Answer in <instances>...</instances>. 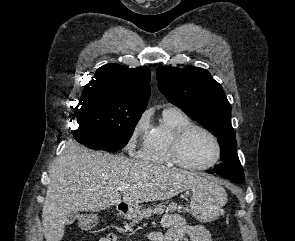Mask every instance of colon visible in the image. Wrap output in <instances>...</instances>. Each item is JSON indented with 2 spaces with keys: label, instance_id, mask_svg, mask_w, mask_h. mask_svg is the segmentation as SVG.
<instances>
[{
  "label": "colon",
  "instance_id": "colon-1",
  "mask_svg": "<svg viewBox=\"0 0 295 241\" xmlns=\"http://www.w3.org/2000/svg\"><path fill=\"white\" fill-rule=\"evenodd\" d=\"M86 222H87L88 227H91V226L95 225V220L92 217L87 218Z\"/></svg>",
  "mask_w": 295,
  "mask_h": 241
}]
</instances>
